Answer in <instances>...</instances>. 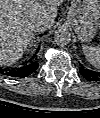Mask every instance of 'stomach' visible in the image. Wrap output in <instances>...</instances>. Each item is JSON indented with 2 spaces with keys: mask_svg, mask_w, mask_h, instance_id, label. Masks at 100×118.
Wrapping results in <instances>:
<instances>
[{
  "mask_svg": "<svg viewBox=\"0 0 100 118\" xmlns=\"http://www.w3.org/2000/svg\"><path fill=\"white\" fill-rule=\"evenodd\" d=\"M99 19L100 4L98 0H71L67 21L74 28L80 41L92 40L100 25Z\"/></svg>",
  "mask_w": 100,
  "mask_h": 118,
  "instance_id": "stomach-1",
  "label": "stomach"
}]
</instances>
